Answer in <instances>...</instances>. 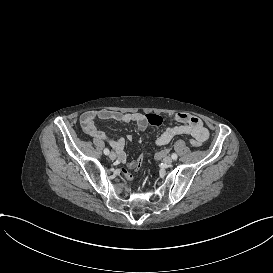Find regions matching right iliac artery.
<instances>
[{
    "mask_svg": "<svg viewBox=\"0 0 273 273\" xmlns=\"http://www.w3.org/2000/svg\"><path fill=\"white\" fill-rule=\"evenodd\" d=\"M104 154L108 155L109 154V150L107 148L104 149Z\"/></svg>",
    "mask_w": 273,
    "mask_h": 273,
    "instance_id": "1",
    "label": "right iliac artery"
}]
</instances>
